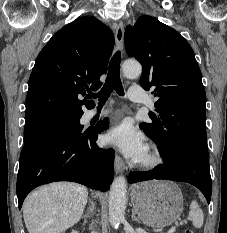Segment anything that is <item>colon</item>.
<instances>
[{"label": "colon", "instance_id": "5ec220e1", "mask_svg": "<svg viewBox=\"0 0 227 233\" xmlns=\"http://www.w3.org/2000/svg\"><path fill=\"white\" fill-rule=\"evenodd\" d=\"M183 233H194V231L192 229H185Z\"/></svg>", "mask_w": 227, "mask_h": 233}]
</instances>
